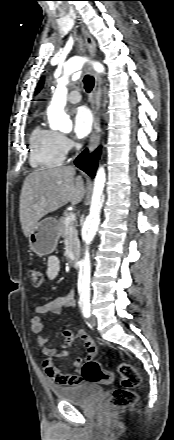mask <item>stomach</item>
I'll list each match as a JSON object with an SVG mask.
<instances>
[{
	"instance_id": "1",
	"label": "stomach",
	"mask_w": 174,
	"mask_h": 440,
	"mask_svg": "<svg viewBox=\"0 0 174 440\" xmlns=\"http://www.w3.org/2000/svg\"><path fill=\"white\" fill-rule=\"evenodd\" d=\"M59 237L58 221L52 217L45 218L29 234V247L38 256H46L54 252Z\"/></svg>"
}]
</instances>
